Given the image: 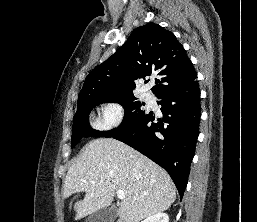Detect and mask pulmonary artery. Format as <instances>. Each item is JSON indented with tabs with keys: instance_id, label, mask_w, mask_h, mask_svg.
Here are the masks:
<instances>
[{
	"instance_id": "1",
	"label": "pulmonary artery",
	"mask_w": 257,
	"mask_h": 222,
	"mask_svg": "<svg viewBox=\"0 0 257 222\" xmlns=\"http://www.w3.org/2000/svg\"><path fill=\"white\" fill-rule=\"evenodd\" d=\"M144 97H145L146 99H150V98H151V93H150V92H145V93H144Z\"/></svg>"
}]
</instances>
